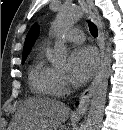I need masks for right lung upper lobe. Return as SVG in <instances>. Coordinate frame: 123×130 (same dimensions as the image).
<instances>
[{
    "label": "right lung upper lobe",
    "mask_w": 123,
    "mask_h": 130,
    "mask_svg": "<svg viewBox=\"0 0 123 130\" xmlns=\"http://www.w3.org/2000/svg\"><path fill=\"white\" fill-rule=\"evenodd\" d=\"M38 33H39V27L35 23L30 29L29 33L27 34L25 44H24V49H23V56L28 55V53L30 52L31 47L38 36Z\"/></svg>",
    "instance_id": "right-lung-upper-lobe-1"
}]
</instances>
